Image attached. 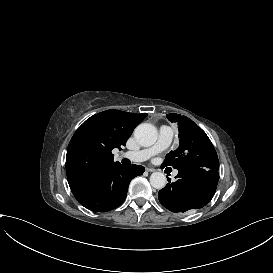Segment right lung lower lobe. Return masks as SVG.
Segmentation results:
<instances>
[{"mask_svg":"<svg viewBox=\"0 0 273 273\" xmlns=\"http://www.w3.org/2000/svg\"><path fill=\"white\" fill-rule=\"evenodd\" d=\"M145 171L139 165H115L81 190L73 193L77 201L92 211H110L123 203L130 181Z\"/></svg>","mask_w":273,"mask_h":273,"instance_id":"98d812e1","label":"right lung lower lobe"}]
</instances>
